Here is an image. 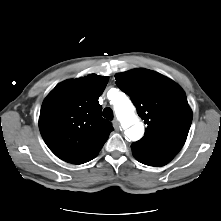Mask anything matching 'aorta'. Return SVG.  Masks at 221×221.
I'll return each mask as SVG.
<instances>
[{
  "instance_id": "1",
  "label": "aorta",
  "mask_w": 221,
  "mask_h": 221,
  "mask_svg": "<svg viewBox=\"0 0 221 221\" xmlns=\"http://www.w3.org/2000/svg\"><path fill=\"white\" fill-rule=\"evenodd\" d=\"M114 110L125 129L126 137L132 141L139 140L144 134V126L139 122L132 102L126 96H122L115 101Z\"/></svg>"
}]
</instances>
